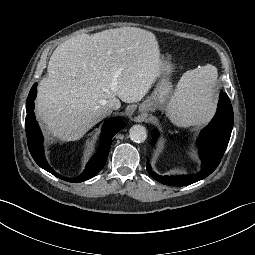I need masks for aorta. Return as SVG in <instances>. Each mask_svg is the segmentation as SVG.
Segmentation results:
<instances>
[{"instance_id": "aorta-1", "label": "aorta", "mask_w": 255, "mask_h": 255, "mask_svg": "<svg viewBox=\"0 0 255 255\" xmlns=\"http://www.w3.org/2000/svg\"><path fill=\"white\" fill-rule=\"evenodd\" d=\"M129 137L133 142H144L147 138L146 128L142 125H133L129 130Z\"/></svg>"}]
</instances>
